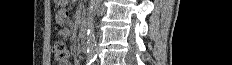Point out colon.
<instances>
[{"mask_svg":"<svg viewBox=\"0 0 232 65\" xmlns=\"http://www.w3.org/2000/svg\"><path fill=\"white\" fill-rule=\"evenodd\" d=\"M53 53L55 60L59 63L65 62L69 58V50L64 43L57 42L54 45Z\"/></svg>","mask_w":232,"mask_h":65,"instance_id":"5ec220e1","label":"colon"}]
</instances>
